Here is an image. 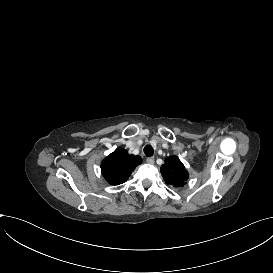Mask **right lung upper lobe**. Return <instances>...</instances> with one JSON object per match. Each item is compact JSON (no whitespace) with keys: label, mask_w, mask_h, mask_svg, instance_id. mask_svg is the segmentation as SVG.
<instances>
[{"label":"right lung upper lobe","mask_w":273,"mask_h":273,"mask_svg":"<svg viewBox=\"0 0 273 273\" xmlns=\"http://www.w3.org/2000/svg\"><path fill=\"white\" fill-rule=\"evenodd\" d=\"M141 162L140 157L129 155L126 150L118 148L102 161V174L108 183L122 184Z\"/></svg>","instance_id":"right-lung-upper-lobe-1"}]
</instances>
